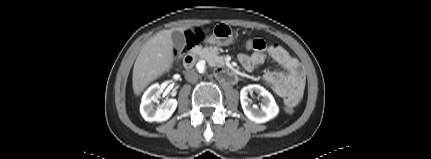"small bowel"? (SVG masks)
<instances>
[{"mask_svg":"<svg viewBox=\"0 0 431 159\" xmlns=\"http://www.w3.org/2000/svg\"><path fill=\"white\" fill-rule=\"evenodd\" d=\"M253 40L255 44L251 49L252 53H241L238 56L240 64L247 71H252L265 61L268 54L284 71H268L264 75L265 82L278 97L283 98L285 106L297 107L304 91V76L297 59L278 44H267L260 38Z\"/></svg>","mask_w":431,"mask_h":159,"instance_id":"c3829d8e","label":"small bowel"}]
</instances>
